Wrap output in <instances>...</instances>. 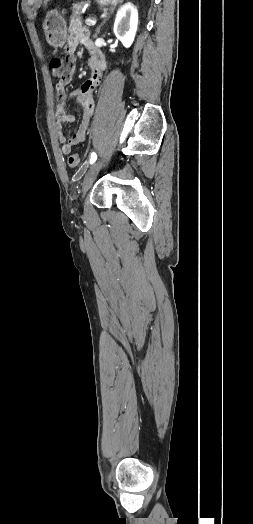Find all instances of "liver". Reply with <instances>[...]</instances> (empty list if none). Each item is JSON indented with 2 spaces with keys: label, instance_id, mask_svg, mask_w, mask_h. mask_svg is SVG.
Listing matches in <instances>:
<instances>
[{
  "label": "liver",
  "instance_id": "6515ba94",
  "mask_svg": "<svg viewBox=\"0 0 253 524\" xmlns=\"http://www.w3.org/2000/svg\"><path fill=\"white\" fill-rule=\"evenodd\" d=\"M49 0H45V2L47 3Z\"/></svg>",
  "mask_w": 253,
  "mask_h": 524
}]
</instances>
